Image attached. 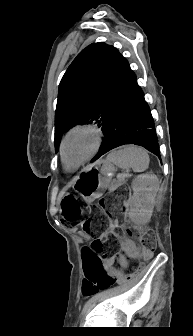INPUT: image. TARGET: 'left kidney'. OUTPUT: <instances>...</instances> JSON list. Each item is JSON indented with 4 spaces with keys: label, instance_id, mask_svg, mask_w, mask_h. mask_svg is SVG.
<instances>
[{
    "label": "left kidney",
    "instance_id": "left-kidney-1",
    "mask_svg": "<svg viewBox=\"0 0 193 336\" xmlns=\"http://www.w3.org/2000/svg\"><path fill=\"white\" fill-rule=\"evenodd\" d=\"M134 194L129 200V218L137 225H144L151 219L159 180L153 173L138 176L133 184Z\"/></svg>",
    "mask_w": 193,
    "mask_h": 336
}]
</instances>
